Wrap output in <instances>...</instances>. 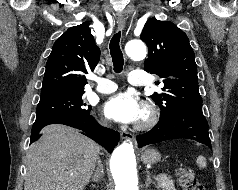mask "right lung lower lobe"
<instances>
[{
	"label": "right lung lower lobe",
	"mask_w": 238,
	"mask_h": 190,
	"mask_svg": "<svg viewBox=\"0 0 238 190\" xmlns=\"http://www.w3.org/2000/svg\"><path fill=\"white\" fill-rule=\"evenodd\" d=\"M50 124H63L77 129H80L87 133L88 137L96 141L98 144L106 148L109 152L119 142V133L112 129L104 128L96 122L92 115L82 116H65L48 118L40 121H35L31 131L30 144L36 141L40 135V130Z\"/></svg>",
	"instance_id": "obj_1"
}]
</instances>
